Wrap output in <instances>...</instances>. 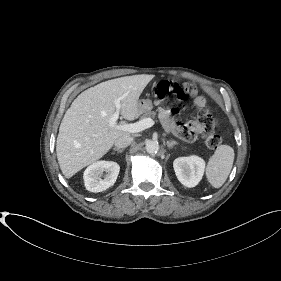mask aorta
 Listing matches in <instances>:
<instances>
[{
    "mask_svg": "<svg viewBox=\"0 0 281 281\" xmlns=\"http://www.w3.org/2000/svg\"><path fill=\"white\" fill-rule=\"evenodd\" d=\"M146 151L148 153L154 154L159 151V144L157 141L154 140H149L146 142Z\"/></svg>",
    "mask_w": 281,
    "mask_h": 281,
    "instance_id": "obj_1",
    "label": "aorta"
}]
</instances>
